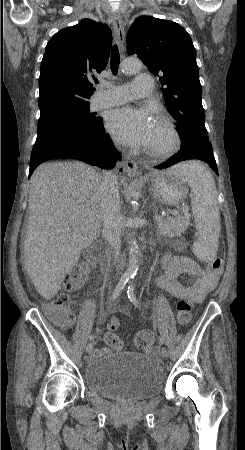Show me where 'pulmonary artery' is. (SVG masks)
I'll use <instances>...</instances> for the list:
<instances>
[{"instance_id":"pulmonary-artery-1","label":"pulmonary artery","mask_w":245,"mask_h":450,"mask_svg":"<svg viewBox=\"0 0 245 450\" xmlns=\"http://www.w3.org/2000/svg\"><path fill=\"white\" fill-rule=\"evenodd\" d=\"M153 77L141 74L134 81L121 85H109L96 93L95 107H109L130 102L137 97L149 96L153 92Z\"/></svg>"}]
</instances>
